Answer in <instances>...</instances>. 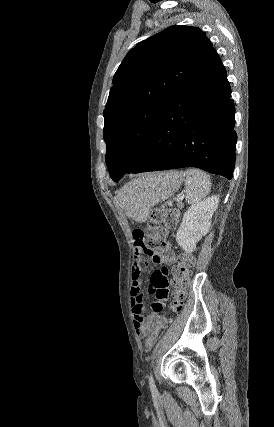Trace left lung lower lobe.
Here are the masks:
<instances>
[{"mask_svg":"<svg viewBox=\"0 0 274 427\" xmlns=\"http://www.w3.org/2000/svg\"><path fill=\"white\" fill-rule=\"evenodd\" d=\"M225 68L214 48L165 109L124 173L197 167L232 179L237 135ZM112 177L118 182L123 174Z\"/></svg>","mask_w":274,"mask_h":427,"instance_id":"left-lung-lower-lobe-1","label":"left lung lower lobe"}]
</instances>
